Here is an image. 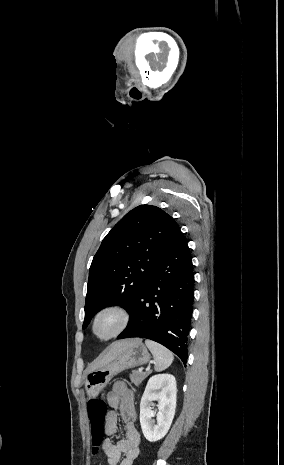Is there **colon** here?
Here are the masks:
<instances>
[{"instance_id": "obj_1", "label": "colon", "mask_w": 284, "mask_h": 465, "mask_svg": "<svg viewBox=\"0 0 284 465\" xmlns=\"http://www.w3.org/2000/svg\"><path fill=\"white\" fill-rule=\"evenodd\" d=\"M87 410L89 412V437L93 438L90 452L95 454L97 452L96 448L103 447V440L100 438L106 437V430L109 428V423L106 421L107 415L104 413L106 411L105 401L102 399H90Z\"/></svg>"}]
</instances>
